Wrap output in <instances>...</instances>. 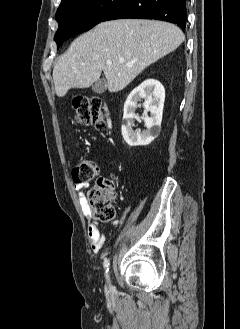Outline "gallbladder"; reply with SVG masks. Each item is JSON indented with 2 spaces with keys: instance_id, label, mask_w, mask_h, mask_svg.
<instances>
[{
  "instance_id": "bac80fb5",
  "label": "gallbladder",
  "mask_w": 240,
  "mask_h": 329,
  "mask_svg": "<svg viewBox=\"0 0 240 329\" xmlns=\"http://www.w3.org/2000/svg\"><path fill=\"white\" fill-rule=\"evenodd\" d=\"M107 89V82L104 78L98 79L92 85V90L96 93H103Z\"/></svg>"
}]
</instances>
